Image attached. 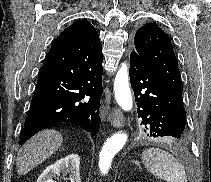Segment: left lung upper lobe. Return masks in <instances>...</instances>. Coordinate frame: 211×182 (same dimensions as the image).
Here are the masks:
<instances>
[{"label": "left lung upper lobe", "mask_w": 211, "mask_h": 182, "mask_svg": "<svg viewBox=\"0 0 211 182\" xmlns=\"http://www.w3.org/2000/svg\"><path fill=\"white\" fill-rule=\"evenodd\" d=\"M135 52L169 86L182 96L178 63L170 37L155 23L142 26L134 37Z\"/></svg>", "instance_id": "1"}]
</instances>
